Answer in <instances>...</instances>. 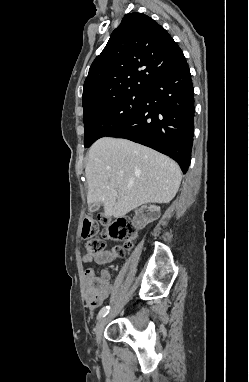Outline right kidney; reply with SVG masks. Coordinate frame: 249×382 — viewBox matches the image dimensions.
<instances>
[{
	"label": "right kidney",
	"mask_w": 249,
	"mask_h": 382,
	"mask_svg": "<svg viewBox=\"0 0 249 382\" xmlns=\"http://www.w3.org/2000/svg\"><path fill=\"white\" fill-rule=\"evenodd\" d=\"M146 211V214L143 212ZM160 217V207L150 204H142L141 208L136 211L133 223L137 224L138 229H143L147 224L157 220Z\"/></svg>",
	"instance_id": "ca27d5eb"
}]
</instances>
